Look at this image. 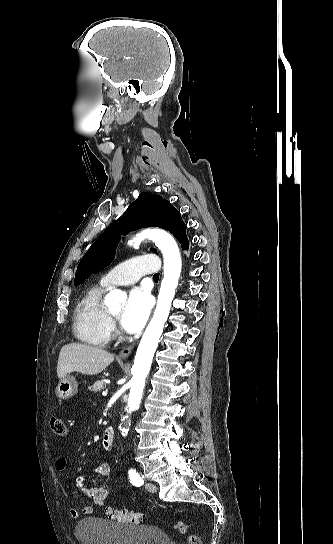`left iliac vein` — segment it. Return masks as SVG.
I'll return each mask as SVG.
<instances>
[{"label":"left iliac vein","instance_id":"obj_1","mask_svg":"<svg viewBox=\"0 0 333 544\" xmlns=\"http://www.w3.org/2000/svg\"><path fill=\"white\" fill-rule=\"evenodd\" d=\"M145 487L149 492L157 491V487L153 483H146Z\"/></svg>","mask_w":333,"mask_h":544}]
</instances>
